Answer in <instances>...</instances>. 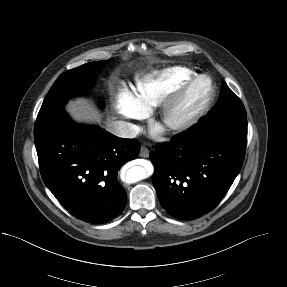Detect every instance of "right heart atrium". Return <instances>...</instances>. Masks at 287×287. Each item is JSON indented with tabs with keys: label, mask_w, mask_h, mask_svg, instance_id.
<instances>
[{
	"label": "right heart atrium",
	"mask_w": 287,
	"mask_h": 287,
	"mask_svg": "<svg viewBox=\"0 0 287 287\" xmlns=\"http://www.w3.org/2000/svg\"><path fill=\"white\" fill-rule=\"evenodd\" d=\"M113 108L118 116L129 122L131 129L135 127L133 121L142 119L146 115L133 93L126 87L121 88L115 96Z\"/></svg>",
	"instance_id": "d8ad5b80"
}]
</instances>
